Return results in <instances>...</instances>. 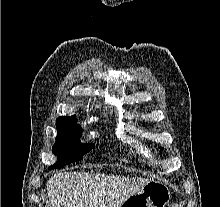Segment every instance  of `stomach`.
Instances as JSON below:
<instances>
[{
    "label": "stomach",
    "mask_w": 220,
    "mask_h": 207,
    "mask_svg": "<svg viewBox=\"0 0 220 207\" xmlns=\"http://www.w3.org/2000/svg\"><path fill=\"white\" fill-rule=\"evenodd\" d=\"M171 200L169 188L156 180H147L135 194L129 196L121 207H166Z\"/></svg>",
    "instance_id": "0dacf381"
}]
</instances>
